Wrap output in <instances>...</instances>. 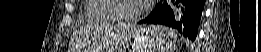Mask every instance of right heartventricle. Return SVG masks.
Masks as SVG:
<instances>
[{
    "instance_id": "right-heart-ventricle-1",
    "label": "right heart ventricle",
    "mask_w": 261,
    "mask_h": 52,
    "mask_svg": "<svg viewBox=\"0 0 261 52\" xmlns=\"http://www.w3.org/2000/svg\"><path fill=\"white\" fill-rule=\"evenodd\" d=\"M114 0H87L85 17L94 24H115L118 21L114 15L112 4Z\"/></svg>"
}]
</instances>
